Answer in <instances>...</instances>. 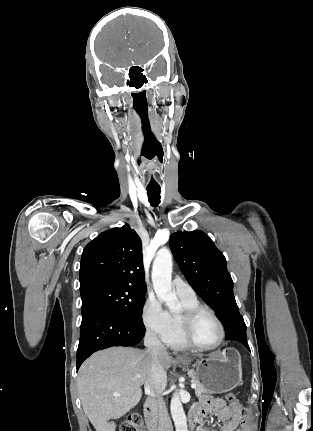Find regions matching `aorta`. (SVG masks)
I'll return each mask as SVG.
<instances>
[{"mask_svg": "<svg viewBox=\"0 0 313 431\" xmlns=\"http://www.w3.org/2000/svg\"><path fill=\"white\" fill-rule=\"evenodd\" d=\"M172 254L167 248H161L155 257L152 268V282L156 295L166 306L174 311L178 307V298L172 291ZM171 415L176 431H188L187 419L178 394H174L170 403Z\"/></svg>", "mask_w": 313, "mask_h": 431, "instance_id": "1", "label": "aorta"}]
</instances>
